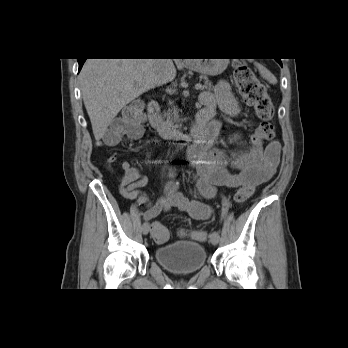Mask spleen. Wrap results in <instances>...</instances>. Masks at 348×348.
Instances as JSON below:
<instances>
[{
    "instance_id": "3e777b00",
    "label": "spleen",
    "mask_w": 348,
    "mask_h": 348,
    "mask_svg": "<svg viewBox=\"0 0 348 348\" xmlns=\"http://www.w3.org/2000/svg\"><path fill=\"white\" fill-rule=\"evenodd\" d=\"M255 66L258 68L259 73L261 74V76L264 79H266L269 83H271V84H276L277 83V79L265 67H263L262 65H260L258 63H255Z\"/></svg>"
}]
</instances>
